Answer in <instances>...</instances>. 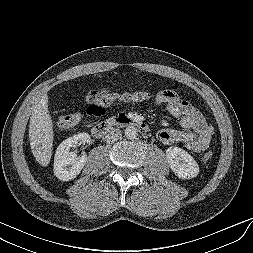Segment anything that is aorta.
<instances>
[{"instance_id": "obj_1", "label": "aorta", "mask_w": 253, "mask_h": 253, "mask_svg": "<svg viewBox=\"0 0 253 253\" xmlns=\"http://www.w3.org/2000/svg\"><path fill=\"white\" fill-rule=\"evenodd\" d=\"M138 136V130L135 126H128L125 129V137L127 139H135Z\"/></svg>"}]
</instances>
